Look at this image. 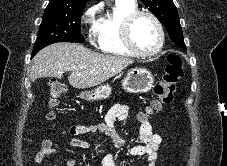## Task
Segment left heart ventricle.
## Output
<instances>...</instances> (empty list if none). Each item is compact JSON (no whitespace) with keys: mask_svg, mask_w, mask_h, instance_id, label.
<instances>
[{"mask_svg":"<svg viewBox=\"0 0 227 166\" xmlns=\"http://www.w3.org/2000/svg\"><path fill=\"white\" fill-rule=\"evenodd\" d=\"M132 38L139 49H154L158 42V31L153 21L145 16L140 17L133 25Z\"/></svg>","mask_w":227,"mask_h":166,"instance_id":"obj_1","label":"left heart ventricle"}]
</instances>
